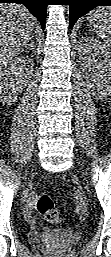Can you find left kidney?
<instances>
[{
    "label": "left kidney",
    "instance_id": "1",
    "mask_svg": "<svg viewBox=\"0 0 111 257\" xmlns=\"http://www.w3.org/2000/svg\"><path fill=\"white\" fill-rule=\"evenodd\" d=\"M79 62L89 87L104 97L111 94V51L98 39L82 37L78 46Z\"/></svg>",
    "mask_w": 111,
    "mask_h": 257
}]
</instances>
